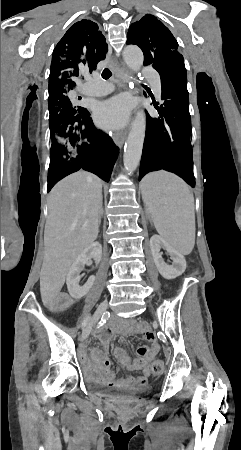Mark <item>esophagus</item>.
I'll return each mask as SVG.
<instances>
[{"instance_id":"34e87169","label":"esophagus","mask_w":241,"mask_h":450,"mask_svg":"<svg viewBox=\"0 0 241 450\" xmlns=\"http://www.w3.org/2000/svg\"><path fill=\"white\" fill-rule=\"evenodd\" d=\"M118 68L114 69V71L117 73L118 77L120 78L121 82H122V86L126 87L127 83H128V71L126 68L122 67L121 65H118ZM126 138V132L125 131H121V132H117L114 134L113 136V140L115 142V144L118 147H122L124 141Z\"/></svg>"}]
</instances>
